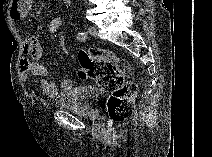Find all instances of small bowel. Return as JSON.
Wrapping results in <instances>:
<instances>
[{"label": "small bowel", "mask_w": 212, "mask_h": 157, "mask_svg": "<svg viewBox=\"0 0 212 157\" xmlns=\"http://www.w3.org/2000/svg\"><path fill=\"white\" fill-rule=\"evenodd\" d=\"M33 0H13L10 4L9 16L14 21H25L30 15ZM62 25L60 18H54L49 24L48 32L55 34ZM23 57L19 62L20 78L28 82L30 75L40 78V89L49 99L65 94L72 88L70 79H62L57 86L51 79L47 68L40 62L42 47L36 36L27 33L22 45Z\"/></svg>", "instance_id": "small-bowel-1"}]
</instances>
